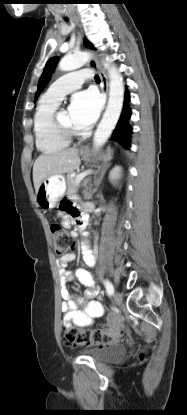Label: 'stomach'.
I'll use <instances>...</instances> for the list:
<instances>
[{"instance_id":"stomach-1","label":"stomach","mask_w":187,"mask_h":415,"mask_svg":"<svg viewBox=\"0 0 187 415\" xmlns=\"http://www.w3.org/2000/svg\"><path fill=\"white\" fill-rule=\"evenodd\" d=\"M112 149L108 148L102 155L104 161L112 158ZM81 155L86 156V153L81 151ZM66 191V181L62 174H56L47 177L40 185L36 193L37 205L42 210L48 211L56 207L60 199L64 196Z\"/></svg>"}]
</instances>
